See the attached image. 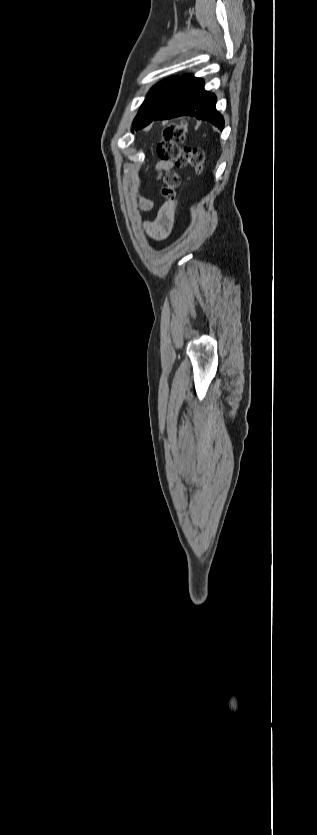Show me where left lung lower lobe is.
I'll return each mask as SVG.
<instances>
[{
	"label": "left lung lower lobe",
	"mask_w": 317,
	"mask_h": 835,
	"mask_svg": "<svg viewBox=\"0 0 317 835\" xmlns=\"http://www.w3.org/2000/svg\"><path fill=\"white\" fill-rule=\"evenodd\" d=\"M216 96L203 88V80L193 76H182L175 84L170 96L154 116L147 119L141 128L153 120L192 116L208 121L223 130V116L216 110Z\"/></svg>",
	"instance_id": "left-lung-lower-lobe-1"
}]
</instances>
